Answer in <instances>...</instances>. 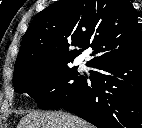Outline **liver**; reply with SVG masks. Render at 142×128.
<instances>
[{"instance_id":"obj_1","label":"liver","mask_w":142,"mask_h":128,"mask_svg":"<svg viewBox=\"0 0 142 128\" xmlns=\"http://www.w3.org/2000/svg\"><path fill=\"white\" fill-rule=\"evenodd\" d=\"M17 128H93L83 119L65 112H30Z\"/></svg>"}]
</instances>
